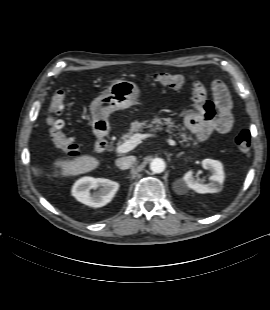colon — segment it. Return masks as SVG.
<instances>
[{"label":"colon","instance_id":"5ec220e1","mask_svg":"<svg viewBox=\"0 0 270 310\" xmlns=\"http://www.w3.org/2000/svg\"><path fill=\"white\" fill-rule=\"evenodd\" d=\"M152 80L174 89L181 88L186 83L184 76L167 72L155 74ZM66 98L67 93L64 90H58L53 94L48 108L47 123L50 136L62 153L67 157H76L79 155V144L75 138L65 134L64 122L58 118L65 108ZM203 107L209 113H214V106L210 101H206ZM235 141L239 152L246 157L249 156L251 150L250 133L246 130L239 132Z\"/></svg>","mask_w":270,"mask_h":310}]
</instances>
